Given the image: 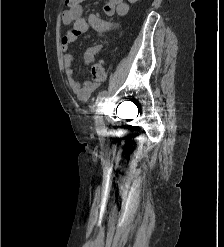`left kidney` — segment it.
Listing matches in <instances>:
<instances>
[{"mask_svg": "<svg viewBox=\"0 0 224 247\" xmlns=\"http://www.w3.org/2000/svg\"><path fill=\"white\" fill-rule=\"evenodd\" d=\"M128 2H130V4H135V2H138V0H128Z\"/></svg>", "mask_w": 224, "mask_h": 247, "instance_id": "1", "label": "left kidney"}]
</instances>
